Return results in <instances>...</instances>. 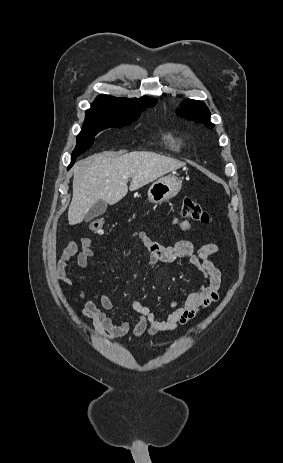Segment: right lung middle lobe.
I'll return each mask as SVG.
<instances>
[{"label": "right lung middle lobe", "instance_id": "right-lung-middle-lobe-1", "mask_svg": "<svg viewBox=\"0 0 283 463\" xmlns=\"http://www.w3.org/2000/svg\"><path fill=\"white\" fill-rule=\"evenodd\" d=\"M155 104L156 102L146 106H132L94 102L91 109L86 111L84 125L77 136L76 147L71 157H77L89 149L93 144L94 136L100 131L111 127L121 128L129 125L138 119L142 111Z\"/></svg>", "mask_w": 283, "mask_h": 463}]
</instances>
